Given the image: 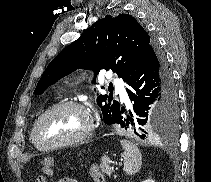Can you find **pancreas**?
Instances as JSON below:
<instances>
[{
	"label": "pancreas",
	"mask_w": 211,
	"mask_h": 182,
	"mask_svg": "<svg viewBox=\"0 0 211 182\" xmlns=\"http://www.w3.org/2000/svg\"><path fill=\"white\" fill-rule=\"evenodd\" d=\"M100 168L102 170L103 173H106L107 175H111L112 173V169L111 167L108 165V163H106L105 161H102Z\"/></svg>",
	"instance_id": "cf45deb5"
}]
</instances>
